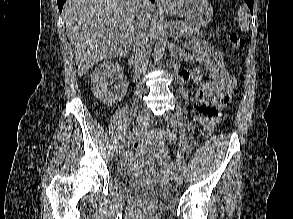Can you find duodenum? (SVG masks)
Here are the masks:
<instances>
[{"mask_svg": "<svg viewBox=\"0 0 293 219\" xmlns=\"http://www.w3.org/2000/svg\"><path fill=\"white\" fill-rule=\"evenodd\" d=\"M129 64H130V66H136V64H137V56H136V54L131 55V57L129 58ZM180 73H179V75H180Z\"/></svg>", "mask_w": 293, "mask_h": 219, "instance_id": "410a0bca", "label": "duodenum"}]
</instances>
